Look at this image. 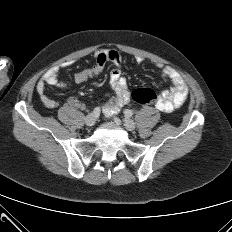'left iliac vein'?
I'll return each mask as SVG.
<instances>
[{
  "label": "left iliac vein",
  "mask_w": 232,
  "mask_h": 232,
  "mask_svg": "<svg viewBox=\"0 0 232 232\" xmlns=\"http://www.w3.org/2000/svg\"><path fill=\"white\" fill-rule=\"evenodd\" d=\"M123 122H124V126L126 129H128L130 131L135 129L136 125H135V122L133 120H131L129 118H124Z\"/></svg>",
  "instance_id": "4c4485c4"
}]
</instances>
